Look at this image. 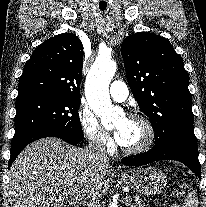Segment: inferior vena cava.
Here are the masks:
<instances>
[{
  "mask_svg": "<svg viewBox=\"0 0 206 207\" xmlns=\"http://www.w3.org/2000/svg\"><path fill=\"white\" fill-rule=\"evenodd\" d=\"M90 154L97 160L107 161L108 157L103 143L95 140L89 144Z\"/></svg>",
  "mask_w": 206,
  "mask_h": 207,
  "instance_id": "inferior-vena-cava-1",
  "label": "inferior vena cava"
}]
</instances>
